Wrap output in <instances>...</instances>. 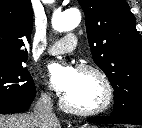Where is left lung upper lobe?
Listing matches in <instances>:
<instances>
[{"mask_svg": "<svg viewBox=\"0 0 142 128\" xmlns=\"http://www.w3.org/2000/svg\"><path fill=\"white\" fill-rule=\"evenodd\" d=\"M93 60L114 89V115L142 112V46L125 0H78Z\"/></svg>", "mask_w": 142, "mask_h": 128, "instance_id": "obj_1", "label": "left lung upper lobe"}]
</instances>
